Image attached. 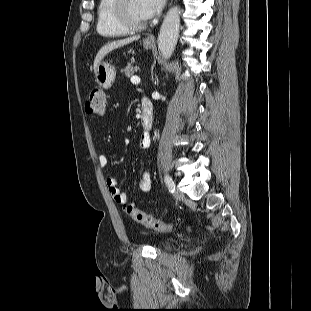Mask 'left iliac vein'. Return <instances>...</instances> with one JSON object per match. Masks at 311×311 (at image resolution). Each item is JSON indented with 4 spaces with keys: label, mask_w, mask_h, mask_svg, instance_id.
I'll list each match as a JSON object with an SVG mask.
<instances>
[{
    "label": "left iliac vein",
    "mask_w": 311,
    "mask_h": 311,
    "mask_svg": "<svg viewBox=\"0 0 311 311\" xmlns=\"http://www.w3.org/2000/svg\"><path fill=\"white\" fill-rule=\"evenodd\" d=\"M174 197L176 199H182L184 197V194L182 191H180L178 188L174 192Z\"/></svg>",
    "instance_id": "4c4485c4"
}]
</instances>
